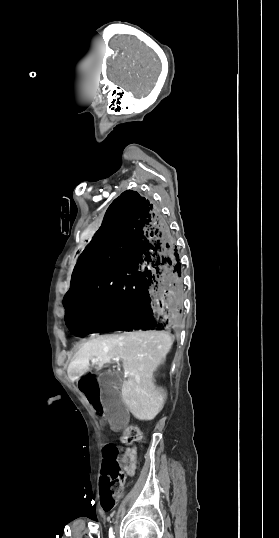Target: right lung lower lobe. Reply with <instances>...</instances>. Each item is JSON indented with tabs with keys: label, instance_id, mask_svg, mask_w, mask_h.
I'll use <instances>...</instances> for the list:
<instances>
[{
	"label": "right lung lower lobe",
	"instance_id": "right-lung-lower-lobe-1",
	"mask_svg": "<svg viewBox=\"0 0 279 538\" xmlns=\"http://www.w3.org/2000/svg\"><path fill=\"white\" fill-rule=\"evenodd\" d=\"M182 300L181 263L166 219L148 198L123 192L74 268L63 300L68 327L76 336L174 333Z\"/></svg>",
	"mask_w": 279,
	"mask_h": 538
}]
</instances>
